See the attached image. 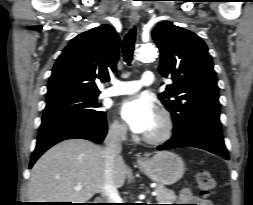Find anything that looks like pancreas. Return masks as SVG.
Wrapping results in <instances>:
<instances>
[{"label":"pancreas","mask_w":253,"mask_h":205,"mask_svg":"<svg viewBox=\"0 0 253 205\" xmlns=\"http://www.w3.org/2000/svg\"><path fill=\"white\" fill-rule=\"evenodd\" d=\"M155 191H157L156 200L159 204H171L176 199L175 193L162 185L156 186Z\"/></svg>","instance_id":"cf45deb5"}]
</instances>
